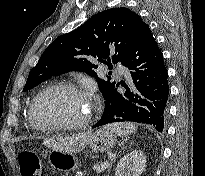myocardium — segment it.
I'll return each mask as SVG.
<instances>
[{
	"instance_id": "f54148a6",
	"label": "myocardium",
	"mask_w": 205,
	"mask_h": 176,
	"mask_svg": "<svg viewBox=\"0 0 205 176\" xmlns=\"http://www.w3.org/2000/svg\"><path fill=\"white\" fill-rule=\"evenodd\" d=\"M55 90H67V91L77 93L81 95L82 97H84L89 103V110H88L86 117L80 122H77L74 124H65V123L64 124H59V123L42 124L38 120L37 115H36L38 104L44 96H46L47 94ZM93 112H94L93 105L90 103L88 97L82 92L79 86L71 82H59V83H55V84H52L46 87L45 89H43L41 92H39L36 95L30 107L29 116H30V120L33 126L42 131H52V130L76 131L90 124L93 118Z\"/></svg>"
}]
</instances>
